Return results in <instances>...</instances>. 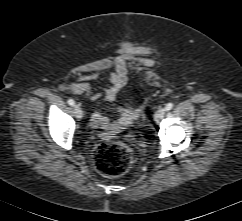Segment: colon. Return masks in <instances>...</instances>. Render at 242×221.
Segmentation results:
<instances>
[{
    "label": "colon",
    "instance_id": "5ec220e1",
    "mask_svg": "<svg viewBox=\"0 0 242 221\" xmlns=\"http://www.w3.org/2000/svg\"><path fill=\"white\" fill-rule=\"evenodd\" d=\"M142 108L129 109L130 117L138 116ZM134 161L131 150L122 143L106 142L99 144L94 152V162L98 172L109 178H116L128 172Z\"/></svg>",
    "mask_w": 242,
    "mask_h": 221
}]
</instances>
